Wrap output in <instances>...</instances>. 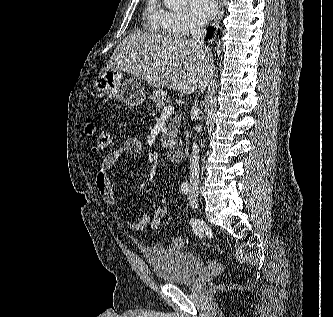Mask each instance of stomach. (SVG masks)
I'll use <instances>...</instances> for the list:
<instances>
[{
	"mask_svg": "<svg viewBox=\"0 0 333 317\" xmlns=\"http://www.w3.org/2000/svg\"><path fill=\"white\" fill-rule=\"evenodd\" d=\"M122 71L104 70L99 73L95 80V88L118 101L130 106H137L145 100V89L141 83L134 78L125 80L123 83Z\"/></svg>",
	"mask_w": 333,
	"mask_h": 317,
	"instance_id": "stomach-1",
	"label": "stomach"
}]
</instances>
